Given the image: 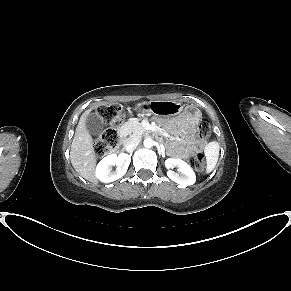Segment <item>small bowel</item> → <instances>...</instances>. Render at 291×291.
<instances>
[{
  "label": "small bowel",
  "instance_id": "1",
  "mask_svg": "<svg viewBox=\"0 0 291 291\" xmlns=\"http://www.w3.org/2000/svg\"><path fill=\"white\" fill-rule=\"evenodd\" d=\"M176 116L165 123L166 128L177 138L172 142L170 152L178 159H186L196 151L193 130L195 122L200 120L202 113L198 107L186 105L178 109Z\"/></svg>",
  "mask_w": 291,
  "mask_h": 291
}]
</instances>
